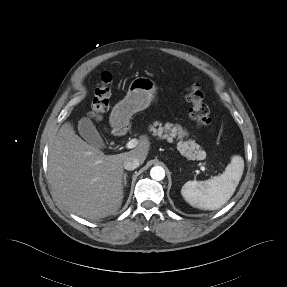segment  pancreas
Returning <instances> with one entry per match:
<instances>
[{
  "mask_svg": "<svg viewBox=\"0 0 287 287\" xmlns=\"http://www.w3.org/2000/svg\"><path fill=\"white\" fill-rule=\"evenodd\" d=\"M159 126L158 129L155 126ZM153 131V135H158L162 139H167L168 142H173V138L178 136L180 141L177 143V149L179 152L186 156L190 160H203L206 157V152L201 149L200 145L192 140L183 141L182 138L187 135L181 125H173L166 123L163 127L161 123L155 122L154 126L150 128Z\"/></svg>",
  "mask_w": 287,
  "mask_h": 287,
  "instance_id": "obj_1",
  "label": "pancreas"
}]
</instances>
